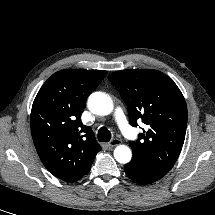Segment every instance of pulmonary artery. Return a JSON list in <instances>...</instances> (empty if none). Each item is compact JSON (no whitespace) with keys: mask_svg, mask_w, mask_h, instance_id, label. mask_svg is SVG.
Listing matches in <instances>:
<instances>
[{"mask_svg":"<svg viewBox=\"0 0 215 215\" xmlns=\"http://www.w3.org/2000/svg\"><path fill=\"white\" fill-rule=\"evenodd\" d=\"M114 119L120 128L121 132L128 138L134 136L133 130L130 127L128 120L120 107H117L114 111Z\"/></svg>","mask_w":215,"mask_h":215,"instance_id":"obj_1","label":"pulmonary artery"}]
</instances>
